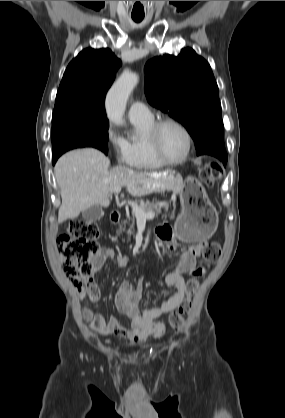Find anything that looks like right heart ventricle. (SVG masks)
Masks as SVG:
<instances>
[{"instance_id":"e07e8e85","label":"right heart ventricle","mask_w":285,"mask_h":418,"mask_svg":"<svg viewBox=\"0 0 285 418\" xmlns=\"http://www.w3.org/2000/svg\"><path fill=\"white\" fill-rule=\"evenodd\" d=\"M135 125L137 136L131 137L125 141L129 151V165L141 169H157L165 164L155 158L153 155L147 136L154 124L153 119L150 121H132Z\"/></svg>"}]
</instances>
